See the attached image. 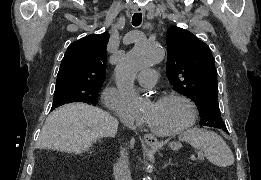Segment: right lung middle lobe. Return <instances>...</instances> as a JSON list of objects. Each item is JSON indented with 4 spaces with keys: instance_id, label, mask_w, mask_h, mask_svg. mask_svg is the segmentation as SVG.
I'll return each mask as SVG.
<instances>
[{
    "instance_id": "1",
    "label": "right lung middle lobe",
    "mask_w": 261,
    "mask_h": 180,
    "mask_svg": "<svg viewBox=\"0 0 261 180\" xmlns=\"http://www.w3.org/2000/svg\"><path fill=\"white\" fill-rule=\"evenodd\" d=\"M101 87L102 85L82 83L56 86L52 109L72 102H86L96 105Z\"/></svg>"
}]
</instances>
